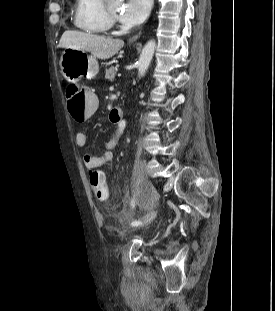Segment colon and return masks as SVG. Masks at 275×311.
<instances>
[{"mask_svg": "<svg viewBox=\"0 0 275 311\" xmlns=\"http://www.w3.org/2000/svg\"><path fill=\"white\" fill-rule=\"evenodd\" d=\"M98 103L96 92H85L76 86H70L67 91V106L73 121H90L95 116ZM91 189L98 200L105 201L109 191L101 171H92L89 175Z\"/></svg>", "mask_w": 275, "mask_h": 311, "instance_id": "colon-1", "label": "colon"}]
</instances>
